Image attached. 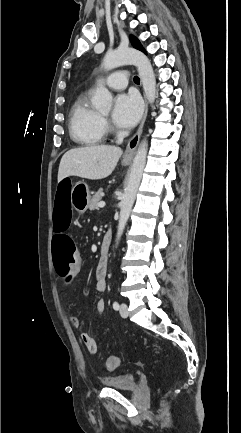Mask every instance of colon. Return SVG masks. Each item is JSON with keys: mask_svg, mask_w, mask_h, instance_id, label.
Returning <instances> with one entry per match:
<instances>
[{"mask_svg": "<svg viewBox=\"0 0 241 433\" xmlns=\"http://www.w3.org/2000/svg\"><path fill=\"white\" fill-rule=\"evenodd\" d=\"M72 182L68 177H61L54 187V207L52 210V225L56 228V234L51 236L52 257L58 275L63 280H69L77 267L78 257L74 244L73 234H65V229L70 225L73 213L71 207ZM119 366V358L110 355L105 361L107 370H115Z\"/></svg>", "mask_w": 241, "mask_h": 433, "instance_id": "obj_1", "label": "colon"}]
</instances>
